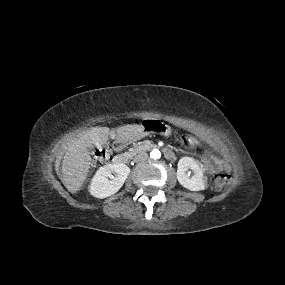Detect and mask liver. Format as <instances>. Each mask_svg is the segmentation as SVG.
Instances as JSON below:
<instances>
[{
	"instance_id": "1",
	"label": "liver",
	"mask_w": 285,
	"mask_h": 285,
	"mask_svg": "<svg viewBox=\"0 0 285 285\" xmlns=\"http://www.w3.org/2000/svg\"><path fill=\"white\" fill-rule=\"evenodd\" d=\"M141 131V125L133 124L119 127L116 133L108 127H93L80 133L69 145L62 160V181L67 190L76 193L83 185L91 164L89 146H103L111 134L118 139H129Z\"/></svg>"
}]
</instances>
